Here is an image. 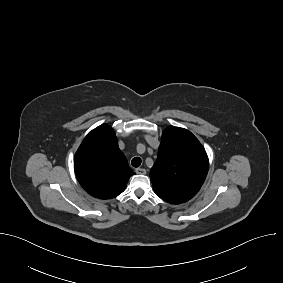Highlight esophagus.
I'll return each mask as SVG.
<instances>
[{
	"instance_id": "34e87169",
	"label": "esophagus",
	"mask_w": 283,
	"mask_h": 283,
	"mask_svg": "<svg viewBox=\"0 0 283 283\" xmlns=\"http://www.w3.org/2000/svg\"><path fill=\"white\" fill-rule=\"evenodd\" d=\"M135 172L137 174H145L146 173V170L144 168H136L135 169Z\"/></svg>"
}]
</instances>
